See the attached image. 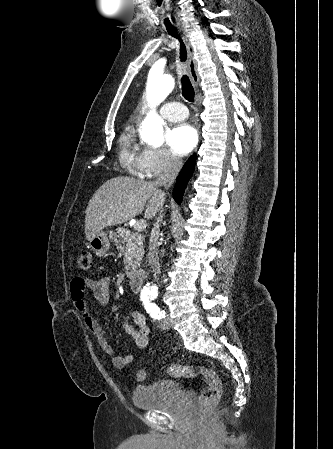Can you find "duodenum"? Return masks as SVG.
Here are the masks:
<instances>
[{
    "mask_svg": "<svg viewBox=\"0 0 333 449\" xmlns=\"http://www.w3.org/2000/svg\"><path fill=\"white\" fill-rule=\"evenodd\" d=\"M144 280V273L142 271H134L129 276V285L133 292L137 293L141 290Z\"/></svg>",
    "mask_w": 333,
    "mask_h": 449,
    "instance_id": "obj_1",
    "label": "duodenum"
}]
</instances>
